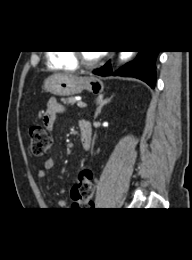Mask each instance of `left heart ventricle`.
Returning a JSON list of instances; mask_svg holds the SVG:
<instances>
[{"mask_svg":"<svg viewBox=\"0 0 192 260\" xmlns=\"http://www.w3.org/2000/svg\"><path fill=\"white\" fill-rule=\"evenodd\" d=\"M83 54L89 60L95 59L99 55V53L92 52V51H85L83 52Z\"/></svg>","mask_w":192,"mask_h":260,"instance_id":"obj_1","label":"left heart ventricle"}]
</instances>
